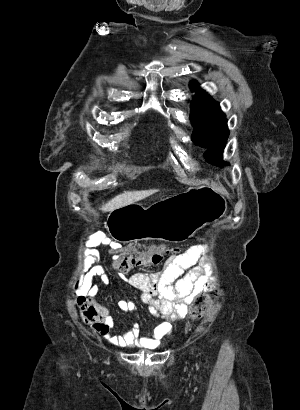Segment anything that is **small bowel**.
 <instances>
[{"label": "small bowel", "mask_w": 300, "mask_h": 410, "mask_svg": "<svg viewBox=\"0 0 300 410\" xmlns=\"http://www.w3.org/2000/svg\"><path fill=\"white\" fill-rule=\"evenodd\" d=\"M104 242L105 237L98 234L88 239L86 246L91 250ZM205 252L204 245H193L183 254L171 255L161 272L135 273L130 276L119 274L121 280L141 292L142 301L149 306V312L159 323L148 334H142L139 324L136 323L116 335L110 334L117 323L109 308L96 299L100 293V285H107L110 276L106 268L95 265L94 256L87 253L84 262L87 274L81 282L76 298L82 321L115 346L149 349L158 347L162 339L171 332V321L185 316L195 296L210 289L212 285L213 279L208 275L212 271L211 264L204 256ZM94 277L99 278L100 284L93 283ZM117 307L121 312L137 310V304L126 299L118 301Z\"/></svg>", "instance_id": "c3829d8e"}]
</instances>
